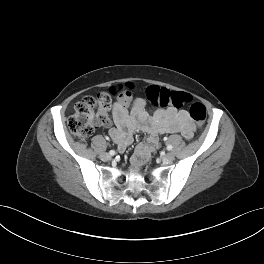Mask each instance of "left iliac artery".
Listing matches in <instances>:
<instances>
[{
    "mask_svg": "<svg viewBox=\"0 0 264 264\" xmlns=\"http://www.w3.org/2000/svg\"><path fill=\"white\" fill-rule=\"evenodd\" d=\"M165 140H167V138H165ZM172 148H173V147H172V145H170V144L167 146V150H169V151L172 150Z\"/></svg>",
    "mask_w": 264,
    "mask_h": 264,
    "instance_id": "obj_1",
    "label": "left iliac artery"
}]
</instances>
